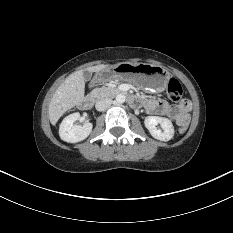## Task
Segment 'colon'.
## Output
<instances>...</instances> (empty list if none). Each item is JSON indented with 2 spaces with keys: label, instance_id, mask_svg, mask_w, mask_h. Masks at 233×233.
<instances>
[{
  "label": "colon",
  "instance_id": "5ec220e1",
  "mask_svg": "<svg viewBox=\"0 0 233 233\" xmlns=\"http://www.w3.org/2000/svg\"><path fill=\"white\" fill-rule=\"evenodd\" d=\"M167 95L169 97L170 100L174 101V102H178L182 99L183 96V88L181 83L176 80V79H171L168 83L167 86ZM188 126V122L183 123L180 127H179V131L180 132H185Z\"/></svg>",
  "mask_w": 233,
  "mask_h": 233
}]
</instances>
